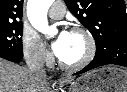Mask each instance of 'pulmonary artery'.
I'll return each mask as SVG.
<instances>
[{"label": "pulmonary artery", "instance_id": "e3ab8cb5", "mask_svg": "<svg viewBox=\"0 0 127 92\" xmlns=\"http://www.w3.org/2000/svg\"><path fill=\"white\" fill-rule=\"evenodd\" d=\"M48 14L53 19H60L65 14V6L61 1H54L49 8Z\"/></svg>", "mask_w": 127, "mask_h": 92}]
</instances>
